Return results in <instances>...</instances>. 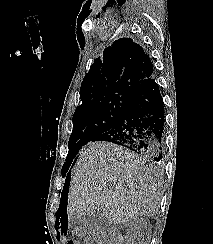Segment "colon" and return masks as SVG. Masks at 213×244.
<instances>
[{
  "mask_svg": "<svg viewBox=\"0 0 213 244\" xmlns=\"http://www.w3.org/2000/svg\"><path fill=\"white\" fill-rule=\"evenodd\" d=\"M67 244H79V243L75 241H69ZM97 244H106V239L104 237H99ZM108 244H112V243H108Z\"/></svg>",
  "mask_w": 213,
  "mask_h": 244,
  "instance_id": "5ec220e1",
  "label": "colon"
}]
</instances>
